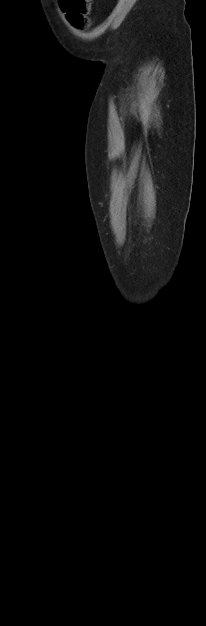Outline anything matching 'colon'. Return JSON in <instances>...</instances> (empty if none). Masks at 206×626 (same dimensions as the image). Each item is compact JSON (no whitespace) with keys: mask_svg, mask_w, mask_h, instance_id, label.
I'll return each instance as SVG.
<instances>
[{"mask_svg":"<svg viewBox=\"0 0 206 626\" xmlns=\"http://www.w3.org/2000/svg\"><path fill=\"white\" fill-rule=\"evenodd\" d=\"M60 5L73 26L82 29L89 25L91 0H60Z\"/></svg>","mask_w":206,"mask_h":626,"instance_id":"5ec220e1","label":"colon"}]
</instances>
